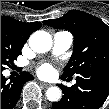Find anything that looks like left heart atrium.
Returning <instances> with one entry per match:
<instances>
[{"label":"left heart atrium","mask_w":109,"mask_h":109,"mask_svg":"<svg viewBox=\"0 0 109 109\" xmlns=\"http://www.w3.org/2000/svg\"><path fill=\"white\" fill-rule=\"evenodd\" d=\"M38 73L44 78H50L55 74V69L50 64H44L38 69Z\"/></svg>","instance_id":"1"}]
</instances>
